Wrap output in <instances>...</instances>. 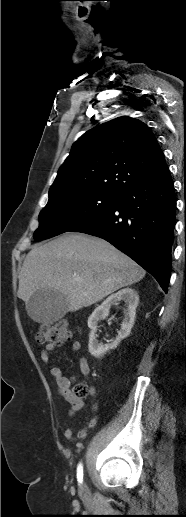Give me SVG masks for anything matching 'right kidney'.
Masks as SVG:
<instances>
[{
    "mask_svg": "<svg viewBox=\"0 0 186 517\" xmlns=\"http://www.w3.org/2000/svg\"><path fill=\"white\" fill-rule=\"evenodd\" d=\"M120 301H124L126 309L124 311V319L121 324V329L118 331V336L110 344H103L97 340L96 331L97 324L109 314L111 306L118 305ZM139 303V296L132 288H125L115 294L110 295L101 305L96 307L88 318V327L91 329L89 334L88 349L91 355L96 358L103 356L107 351L115 349L121 340L128 337L134 325L136 308Z\"/></svg>",
    "mask_w": 186,
    "mask_h": 517,
    "instance_id": "right-kidney-1",
    "label": "right kidney"
}]
</instances>
